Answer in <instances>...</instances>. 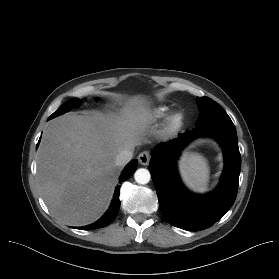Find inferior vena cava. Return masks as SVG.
<instances>
[{
    "label": "inferior vena cava",
    "mask_w": 279,
    "mask_h": 279,
    "mask_svg": "<svg viewBox=\"0 0 279 279\" xmlns=\"http://www.w3.org/2000/svg\"><path fill=\"white\" fill-rule=\"evenodd\" d=\"M133 157V151L132 150H123L121 151L116 159H115V164L119 167L125 166L128 162L131 161Z\"/></svg>",
    "instance_id": "obj_1"
}]
</instances>
